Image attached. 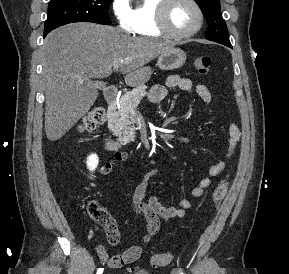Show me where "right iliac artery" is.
Wrapping results in <instances>:
<instances>
[{"instance_id":"obj_1","label":"right iliac artery","mask_w":289,"mask_h":274,"mask_svg":"<svg viewBox=\"0 0 289 274\" xmlns=\"http://www.w3.org/2000/svg\"><path fill=\"white\" fill-rule=\"evenodd\" d=\"M103 268H99L98 270H97V273L96 274H102L103 273Z\"/></svg>"}]
</instances>
